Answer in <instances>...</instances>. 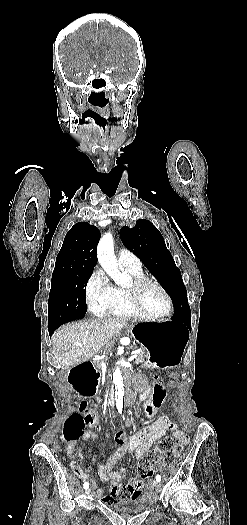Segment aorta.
Masks as SVG:
<instances>
[{"label": "aorta", "mask_w": 247, "mask_h": 525, "mask_svg": "<svg viewBox=\"0 0 247 525\" xmlns=\"http://www.w3.org/2000/svg\"><path fill=\"white\" fill-rule=\"evenodd\" d=\"M97 257L102 268L117 285L123 286L126 284L127 276L118 267L111 233H106L101 237L97 246ZM113 381L116 389V406L118 412L121 413L123 408L124 384L119 367H117L113 373Z\"/></svg>", "instance_id": "762f6f07"}]
</instances>
